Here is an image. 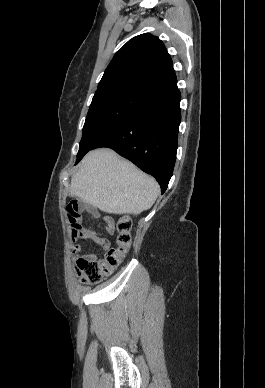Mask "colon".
I'll list each match as a JSON object with an SVG mask.
<instances>
[{"label":"colon","instance_id":"colon-1","mask_svg":"<svg viewBox=\"0 0 265 388\" xmlns=\"http://www.w3.org/2000/svg\"><path fill=\"white\" fill-rule=\"evenodd\" d=\"M68 219L73 227L74 239H84L88 231L80 225L79 204L72 200L66 206ZM132 221L128 217H122L117 222L116 246L108 249L104 257L99 260H90L84 257L77 258L75 271L83 283L96 284L110 275L122 262L128 252L132 241Z\"/></svg>","mask_w":265,"mask_h":388}]
</instances>
